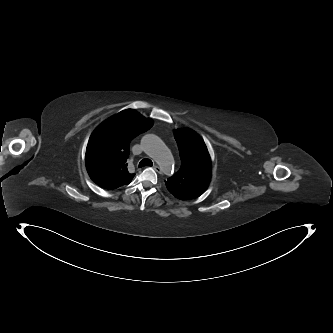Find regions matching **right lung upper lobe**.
I'll return each mask as SVG.
<instances>
[{"mask_svg": "<svg viewBox=\"0 0 333 333\" xmlns=\"http://www.w3.org/2000/svg\"><path fill=\"white\" fill-rule=\"evenodd\" d=\"M153 126V121L127 109L108 118L92 133L86 148V167L92 180L107 190L129 184L135 174L127 169L133 138Z\"/></svg>", "mask_w": 333, "mask_h": 333, "instance_id": "right-lung-upper-lobe-1", "label": "right lung upper lobe"}]
</instances>
